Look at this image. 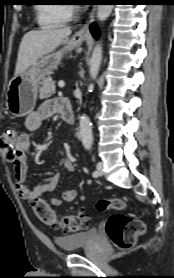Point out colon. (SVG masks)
<instances>
[{"mask_svg":"<svg viewBox=\"0 0 174 278\" xmlns=\"http://www.w3.org/2000/svg\"><path fill=\"white\" fill-rule=\"evenodd\" d=\"M14 131H8L0 136V151L7 161H13L15 152L13 140ZM126 202L120 198L102 199L97 204L100 212L108 210H123ZM33 210L36 216L46 225L61 229L65 232H75L85 228L89 222L86 212L80 211L72 215L56 214L44 200L37 198L33 201ZM106 232L113 244L120 249H129L136 243L139 235L145 231L144 223L125 214L111 215L105 224Z\"/></svg>","mask_w":174,"mask_h":278,"instance_id":"5ec220e1","label":"colon"}]
</instances>
